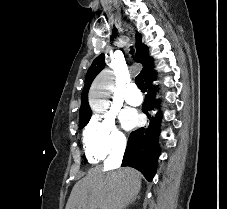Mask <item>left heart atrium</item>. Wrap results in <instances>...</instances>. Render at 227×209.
Listing matches in <instances>:
<instances>
[{
  "label": "left heart atrium",
  "mask_w": 227,
  "mask_h": 209,
  "mask_svg": "<svg viewBox=\"0 0 227 209\" xmlns=\"http://www.w3.org/2000/svg\"><path fill=\"white\" fill-rule=\"evenodd\" d=\"M120 120H121L122 126L125 129L130 130L138 124L139 117L136 111L132 109H125L121 114Z\"/></svg>",
  "instance_id": "obj_1"
}]
</instances>
